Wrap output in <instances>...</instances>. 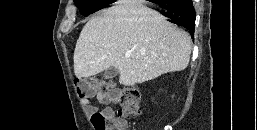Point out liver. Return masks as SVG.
<instances>
[{
  "mask_svg": "<svg viewBox=\"0 0 257 130\" xmlns=\"http://www.w3.org/2000/svg\"><path fill=\"white\" fill-rule=\"evenodd\" d=\"M191 50L189 34L159 12L140 2H118L83 27L74 50V73L87 78L115 67L119 83L133 86L184 70Z\"/></svg>",
  "mask_w": 257,
  "mask_h": 130,
  "instance_id": "6515ba94",
  "label": "liver"
}]
</instances>
